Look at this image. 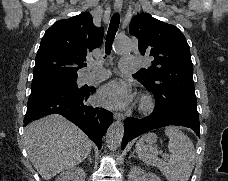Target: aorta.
<instances>
[{
	"label": "aorta",
	"instance_id": "762f6f07",
	"mask_svg": "<svg viewBox=\"0 0 228 181\" xmlns=\"http://www.w3.org/2000/svg\"><path fill=\"white\" fill-rule=\"evenodd\" d=\"M132 42L129 38H119L114 46L115 53L122 54L130 52ZM124 134V126L122 122H114L106 133V143L110 150H116L120 145Z\"/></svg>",
	"mask_w": 228,
	"mask_h": 181
}]
</instances>
